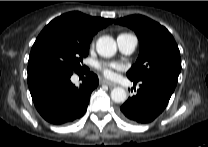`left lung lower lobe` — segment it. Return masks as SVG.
<instances>
[{
	"label": "left lung lower lobe",
	"mask_w": 208,
	"mask_h": 147,
	"mask_svg": "<svg viewBox=\"0 0 208 147\" xmlns=\"http://www.w3.org/2000/svg\"><path fill=\"white\" fill-rule=\"evenodd\" d=\"M139 82L137 94L129 97L120 107L119 115L128 122L144 124L153 121L163 112L176 85L158 77Z\"/></svg>",
	"instance_id": "0a47b994"
}]
</instances>
